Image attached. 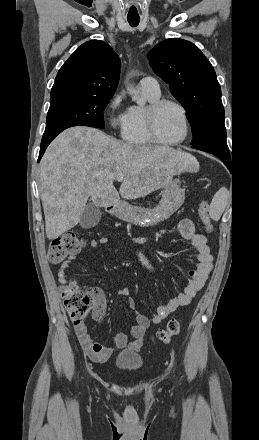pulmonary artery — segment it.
Listing matches in <instances>:
<instances>
[{
  "label": "pulmonary artery",
  "mask_w": 259,
  "mask_h": 440,
  "mask_svg": "<svg viewBox=\"0 0 259 440\" xmlns=\"http://www.w3.org/2000/svg\"><path fill=\"white\" fill-rule=\"evenodd\" d=\"M139 87L143 93H147L153 96L160 95V86L158 81L150 76L142 78L139 82Z\"/></svg>",
  "instance_id": "1"
}]
</instances>
